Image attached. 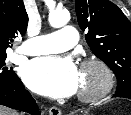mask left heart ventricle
Returning a JSON list of instances; mask_svg holds the SVG:
<instances>
[{
    "mask_svg": "<svg viewBox=\"0 0 131 115\" xmlns=\"http://www.w3.org/2000/svg\"><path fill=\"white\" fill-rule=\"evenodd\" d=\"M102 82L101 72L94 68L89 67L80 73L79 92H90L97 89Z\"/></svg>",
    "mask_w": 131,
    "mask_h": 115,
    "instance_id": "obj_1",
    "label": "left heart ventricle"
}]
</instances>
